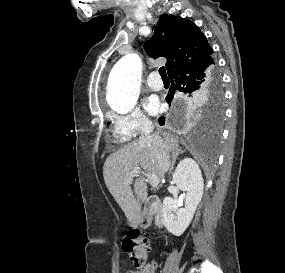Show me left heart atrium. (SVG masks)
Masks as SVG:
<instances>
[{
  "mask_svg": "<svg viewBox=\"0 0 285 273\" xmlns=\"http://www.w3.org/2000/svg\"><path fill=\"white\" fill-rule=\"evenodd\" d=\"M145 108L146 110L148 111V113L152 114V115H155L157 114L158 112H160L161 110V106H160V103L158 101L157 98L155 97H150L146 103H145Z\"/></svg>",
  "mask_w": 285,
  "mask_h": 273,
  "instance_id": "39dd6f15",
  "label": "left heart atrium"
}]
</instances>
